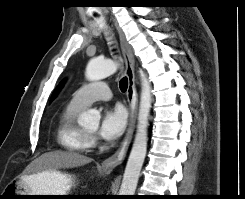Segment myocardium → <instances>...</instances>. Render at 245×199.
<instances>
[{
    "mask_svg": "<svg viewBox=\"0 0 245 199\" xmlns=\"http://www.w3.org/2000/svg\"><path fill=\"white\" fill-rule=\"evenodd\" d=\"M88 136L93 137V133H86Z\"/></svg>",
    "mask_w": 245,
    "mask_h": 199,
    "instance_id": "myocardium-1",
    "label": "myocardium"
}]
</instances>
